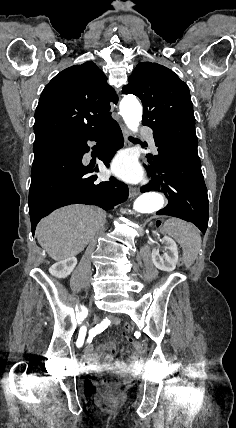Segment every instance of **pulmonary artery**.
<instances>
[{"instance_id":"obj_1","label":"pulmonary artery","mask_w":236,"mask_h":428,"mask_svg":"<svg viewBox=\"0 0 236 428\" xmlns=\"http://www.w3.org/2000/svg\"><path fill=\"white\" fill-rule=\"evenodd\" d=\"M149 141H150V143H151L152 146L155 145V139H154L153 136L149 137Z\"/></svg>"}]
</instances>
